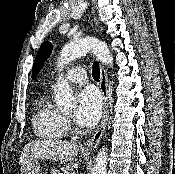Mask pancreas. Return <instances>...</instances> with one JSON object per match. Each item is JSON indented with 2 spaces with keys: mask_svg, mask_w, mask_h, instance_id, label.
I'll return each instance as SVG.
<instances>
[{
  "mask_svg": "<svg viewBox=\"0 0 175 174\" xmlns=\"http://www.w3.org/2000/svg\"><path fill=\"white\" fill-rule=\"evenodd\" d=\"M74 170V165L72 163L67 164L65 167L62 168L63 173L62 174H75L73 172ZM57 170H54L52 174H59L57 173Z\"/></svg>",
  "mask_w": 175,
  "mask_h": 174,
  "instance_id": "1",
  "label": "pancreas"
}]
</instances>
